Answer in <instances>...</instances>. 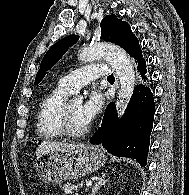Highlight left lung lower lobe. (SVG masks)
I'll return each instance as SVG.
<instances>
[{
  "label": "left lung lower lobe",
  "instance_id": "0a47b994",
  "mask_svg": "<svg viewBox=\"0 0 189 195\" xmlns=\"http://www.w3.org/2000/svg\"><path fill=\"white\" fill-rule=\"evenodd\" d=\"M137 62V70L143 84L135 87L121 119L117 117L114 102L107 106L102 124L90 139V143L102 144L113 155L134 158L141 166H145L155 114V103L150 88L145 84L148 80L146 61L141 57Z\"/></svg>",
  "mask_w": 189,
  "mask_h": 195
}]
</instances>
